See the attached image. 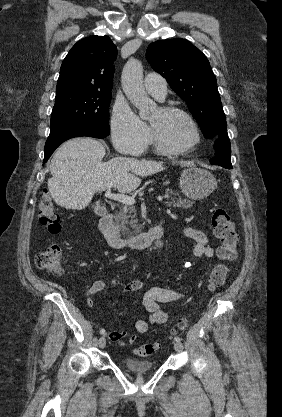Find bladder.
<instances>
[{
	"instance_id": "bladder-1",
	"label": "bladder",
	"mask_w": 282,
	"mask_h": 417,
	"mask_svg": "<svg viewBox=\"0 0 282 417\" xmlns=\"http://www.w3.org/2000/svg\"><path fill=\"white\" fill-rule=\"evenodd\" d=\"M123 366L129 372L145 374L154 368L155 363L153 361L140 360L134 357H126L123 360Z\"/></svg>"
}]
</instances>
